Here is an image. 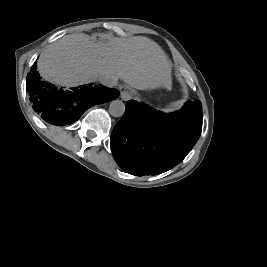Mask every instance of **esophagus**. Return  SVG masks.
Wrapping results in <instances>:
<instances>
[{
  "label": "esophagus",
  "instance_id": "34e87169",
  "mask_svg": "<svg viewBox=\"0 0 267 267\" xmlns=\"http://www.w3.org/2000/svg\"><path fill=\"white\" fill-rule=\"evenodd\" d=\"M121 99L124 101H128L132 98V92L129 90H123L120 95Z\"/></svg>",
  "mask_w": 267,
  "mask_h": 267
}]
</instances>
